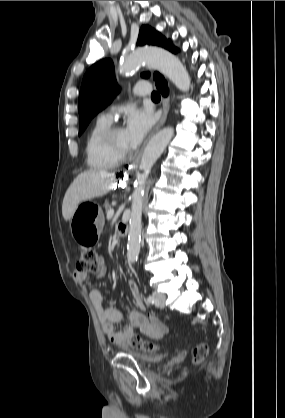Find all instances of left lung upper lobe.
Here are the masks:
<instances>
[{
	"instance_id": "5c2ea615",
	"label": "left lung upper lobe",
	"mask_w": 285,
	"mask_h": 418,
	"mask_svg": "<svg viewBox=\"0 0 285 418\" xmlns=\"http://www.w3.org/2000/svg\"><path fill=\"white\" fill-rule=\"evenodd\" d=\"M138 45H156L169 50L172 45L155 29L142 26L137 41ZM160 74L154 73V79ZM142 77H149V73H143ZM119 92L118 84L114 76V64L111 59H102L93 64L86 72L79 94L78 111L80 117L81 134L90 120L101 110L107 107Z\"/></svg>"
}]
</instances>
